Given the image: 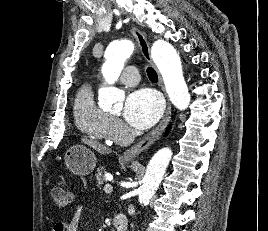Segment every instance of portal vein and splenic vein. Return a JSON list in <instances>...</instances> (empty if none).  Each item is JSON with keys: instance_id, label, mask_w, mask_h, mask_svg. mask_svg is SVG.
<instances>
[{"instance_id": "1", "label": "portal vein and splenic vein", "mask_w": 268, "mask_h": 231, "mask_svg": "<svg viewBox=\"0 0 268 231\" xmlns=\"http://www.w3.org/2000/svg\"><path fill=\"white\" fill-rule=\"evenodd\" d=\"M103 190H104L105 193L109 194V193H111L113 191V187H112L111 184L108 183V184H105L104 185V189Z\"/></svg>"}]
</instances>
